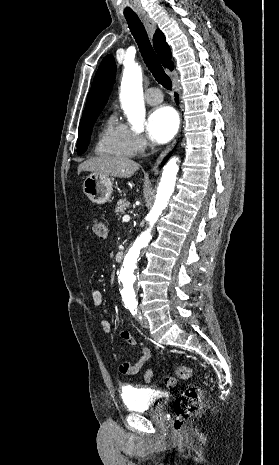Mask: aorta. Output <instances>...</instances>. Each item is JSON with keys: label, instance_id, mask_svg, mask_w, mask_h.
Masks as SVG:
<instances>
[{"label": "aorta", "instance_id": "1", "mask_svg": "<svg viewBox=\"0 0 279 465\" xmlns=\"http://www.w3.org/2000/svg\"><path fill=\"white\" fill-rule=\"evenodd\" d=\"M120 100L128 121L136 130L143 129L145 107L143 100L142 70L137 64L126 65L121 81ZM178 158H172L163 169L162 179L159 183L156 199L147 218L150 227L145 230L132 244L125 254L121 273V296L125 303L136 300L137 262L142 250L151 239V230L167 207L168 201L174 191L176 176L179 170Z\"/></svg>", "mask_w": 279, "mask_h": 465}]
</instances>
